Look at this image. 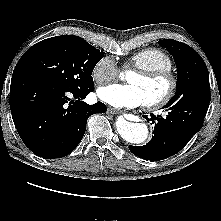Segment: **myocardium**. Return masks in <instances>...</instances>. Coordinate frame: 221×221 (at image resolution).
<instances>
[{
  "label": "myocardium",
  "mask_w": 221,
  "mask_h": 221,
  "mask_svg": "<svg viewBox=\"0 0 221 221\" xmlns=\"http://www.w3.org/2000/svg\"><path fill=\"white\" fill-rule=\"evenodd\" d=\"M133 73H136L147 79H165L168 82V89L162 97L152 102L145 103V107L150 110H155L166 106L173 99L177 92L178 78L171 70L136 69Z\"/></svg>",
  "instance_id": "myocardium-1"
}]
</instances>
